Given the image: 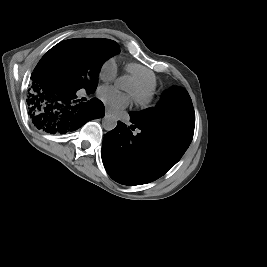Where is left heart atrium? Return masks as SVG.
Wrapping results in <instances>:
<instances>
[{
	"mask_svg": "<svg viewBox=\"0 0 267 267\" xmlns=\"http://www.w3.org/2000/svg\"><path fill=\"white\" fill-rule=\"evenodd\" d=\"M101 96L114 110L124 108L129 103L128 95L121 93L112 87L102 88Z\"/></svg>",
	"mask_w": 267,
	"mask_h": 267,
	"instance_id": "obj_1",
	"label": "left heart atrium"
}]
</instances>
